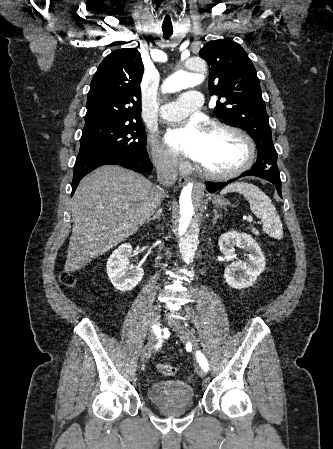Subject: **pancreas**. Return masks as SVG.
<instances>
[{
	"mask_svg": "<svg viewBox=\"0 0 333 449\" xmlns=\"http://www.w3.org/2000/svg\"><path fill=\"white\" fill-rule=\"evenodd\" d=\"M252 233H254L256 236L259 235V232L257 231L256 228H251Z\"/></svg>",
	"mask_w": 333,
	"mask_h": 449,
	"instance_id": "1",
	"label": "pancreas"
}]
</instances>
